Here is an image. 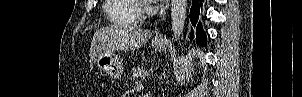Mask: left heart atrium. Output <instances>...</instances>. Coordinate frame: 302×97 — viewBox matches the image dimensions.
Wrapping results in <instances>:
<instances>
[{
    "label": "left heart atrium",
    "mask_w": 302,
    "mask_h": 97,
    "mask_svg": "<svg viewBox=\"0 0 302 97\" xmlns=\"http://www.w3.org/2000/svg\"><path fill=\"white\" fill-rule=\"evenodd\" d=\"M150 3H157L159 2L158 0H148Z\"/></svg>",
    "instance_id": "left-heart-atrium-1"
}]
</instances>
